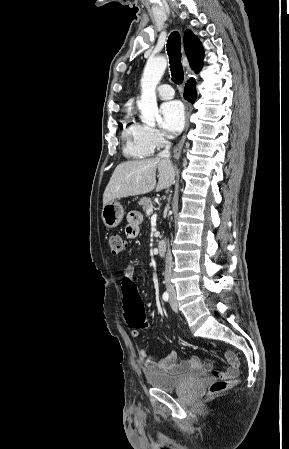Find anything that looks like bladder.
<instances>
[{"label": "bladder", "mask_w": 289, "mask_h": 449, "mask_svg": "<svg viewBox=\"0 0 289 449\" xmlns=\"http://www.w3.org/2000/svg\"><path fill=\"white\" fill-rule=\"evenodd\" d=\"M205 376V371L196 369L181 375L170 374H149L147 376L148 383L157 389L172 392L182 387L188 386Z\"/></svg>", "instance_id": "obj_1"}]
</instances>
